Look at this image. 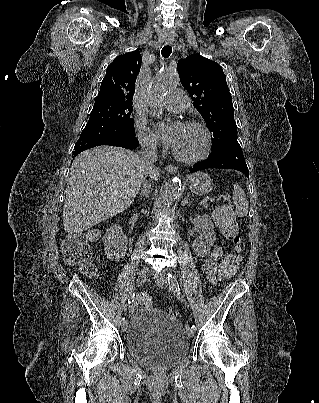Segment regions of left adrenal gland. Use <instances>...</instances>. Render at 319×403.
I'll return each mask as SVG.
<instances>
[{"label":"left adrenal gland","instance_id":"obj_1","mask_svg":"<svg viewBox=\"0 0 319 403\" xmlns=\"http://www.w3.org/2000/svg\"><path fill=\"white\" fill-rule=\"evenodd\" d=\"M190 194H187V196L184 198V200L182 201V206H185L186 204L191 205V203L188 202V198H189Z\"/></svg>","mask_w":319,"mask_h":403}]
</instances>
